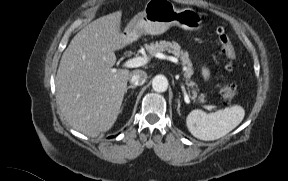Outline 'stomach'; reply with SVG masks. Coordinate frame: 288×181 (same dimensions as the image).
Instances as JSON below:
<instances>
[{
  "instance_id": "stomach-1",
  "label": "stomach",
  "mask_w": 288,
  "mask_h": 181,
  "mask_svg": "<svg viewBox=\"0 0 288 181\" xmlns=\"http://www.w3.org/2000/svg\"><path fill=\"white\" fill-rule=\"evenodd\" d=\"M171 26L198 30L202 27L201 15L190 8L178 10L169 0H149L144 10L130 21L125 33L131 32L136 37L141 34L159 35Z\"/></svg>"
}]
</instances>
